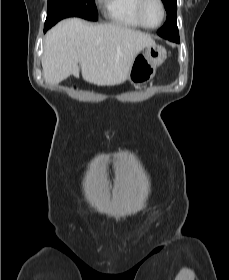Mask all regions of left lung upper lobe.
Segmentation results:
<instances>
[{
	"instance_id": "1",
	"label": "left lung upper lobe",
	"mask_w": 229,
	"mask_h": 280,
	"mask_svg": "<svg viewBox=\"0 0 229 280\" xmlns=\"http://www.w3.org/2000/svg\"><path fill=\"white\" fill-rule=\"evenodd\" d=\"M167 11V21L157 31V34L168 40L179 38L177 23H176V12H177V0H162Z\"/></svg>"
}]
</instances>
